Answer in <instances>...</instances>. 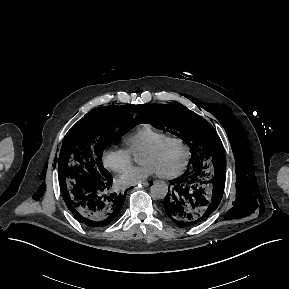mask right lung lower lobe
I'll use <instances>...</instances> for the list:
<instances>
[{"instance_id":"obj_1","label":"right lung lower lobe","mask_w":289,"mask_h":289,"mask_svg":"<svg viewBox=\"0 0 289 289\" xmlns=\"http://www.w3.org/2000/svg\"><path fill=\"white\" fill-rule=\"evenodd\" d=\"M112 185L113 178L109 174L93 186L63 194V199L80 223L91 228H102L117 218L127 192H115Z\"/></svg>"}]
</instances>
